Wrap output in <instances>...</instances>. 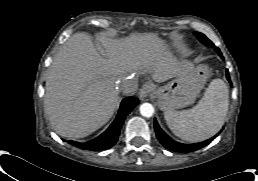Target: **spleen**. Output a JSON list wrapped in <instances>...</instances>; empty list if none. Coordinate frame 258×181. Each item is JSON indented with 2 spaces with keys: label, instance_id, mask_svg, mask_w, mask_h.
Wrapping results in <instances>:
<instances>
[{
  "label": "spleen",
  "instance_id": "1",
  "mask_svg": "<svg viewBox=\"0 0 258 181\" xmlns=\"http://www.w3.org/2000/svg\"><path fill=\"white\" fill-rule=\"evenodd\" d=\"M228 106L227 86L221 79H214L194 108L165 111L164 118L176 136L186 141L197 142L213 136L220 130Z\"/></svg>",
  "mask_w": 258,
  "mask_h": 181
}]
</instances>
